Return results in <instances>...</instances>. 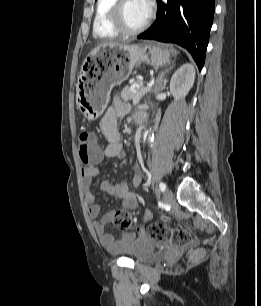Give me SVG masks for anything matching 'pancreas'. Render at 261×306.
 <instances>
[{"label": "pancreas", "mask_w": 261, "mask_h": 306, "mask_svg": "<svg viewBox=\"0 0 261 306\" xmlns=\"http://www.w3.org/2000/svg\"><path fill=\"white\" fill-rule=\"evenodd\" d=\"M146 87L144 86L142 81H138L133 83L130 87L126 86L122 92H121V98L123 101L127 102L129 100H133L135 97L140 96L142 97L144 94L148 93L151 91V88L149 91L143 93V90ZM157 91V89H156Z\"/></svg>", "instance_id": "1"}]
</instances>
